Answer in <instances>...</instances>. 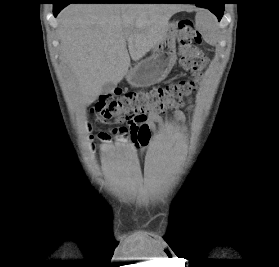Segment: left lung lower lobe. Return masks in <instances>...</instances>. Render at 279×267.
Returning <instances> with one entry per match:
<instances>
[{
    "mask_svg": "<svg viewBox=\"0 0 279 267\" xmlns=\"http://www.w3.org/2000/svg\"><path fill=\"white\" fill-rule=\"evenodd\" d=\"M163 3H196L197 7L207 8L214 13L220 21L223 12L225 0H168Z\"/></svg>",
    "mask_w": 279,
    "mask_h": 267,
    "instance_id": "0a47b994",
    "label": "left lung lower lobe"
}]
</instances>
